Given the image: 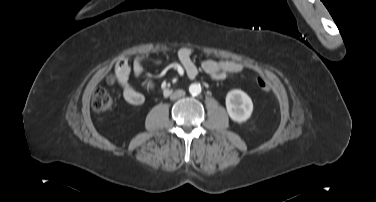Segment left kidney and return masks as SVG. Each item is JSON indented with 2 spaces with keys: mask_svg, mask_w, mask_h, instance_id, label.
<instances>
[{
  "mask_svg": "<svg viewBox=\"0 0 376 202\" xmlns=\"http://www.w3.org/2000/svg\"><path fill=\"white\" fill-rule=\"evenodd\" d=\"M226 108L230 118L241 123L251 116L253 103L245 92L235 89L227 93Z\"/></svg>",
  "mask_w": 376,
  "mask_h": 202,
  "instance_id": "obj_1",
  "label": "left kidney"
}]
</instances>
